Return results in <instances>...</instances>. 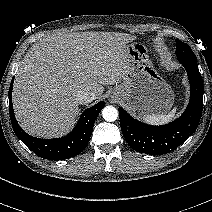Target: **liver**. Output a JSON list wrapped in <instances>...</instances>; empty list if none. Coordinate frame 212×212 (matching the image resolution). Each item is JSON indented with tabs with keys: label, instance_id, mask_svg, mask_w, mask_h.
I'll list each match as a JSON object with an SVG mask.
<instances>
[{
	"label": "liver",
	"instance_id": "obj_1",
	"mask_svg": "<svg viewBox=\"0 0 212 212\" xmlns=\"http://www.w3.org/2000/svg\"><path fill=\"white\" fill-rule=\"evenodd\" d=\"M135 36L122 33H58L26 53L15 77L13 106L29 134L51 138L69 132L79 107L77 92L99 98L121 80V49Z\"/></svg>",
	"mask_w": 212,
	"mask_h": 212
}]
</instances>
